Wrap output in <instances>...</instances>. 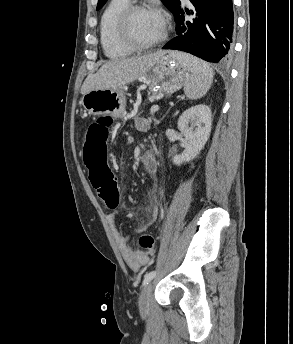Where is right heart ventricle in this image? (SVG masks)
<instances>
[{
    "label": "right heart ventricle",
    "instance_id": "1",
    "mask_svg": "<svg viewBox=\"0 0 293 344\" xmlns=\"http://www.w3.org/2000/svg\"><path fill=\"white\" fill-rule=\"evenodd\" d=\"M129 5V0H110L103 10L99 23V37L106 57L118 60L129 57L134 50L124 45L116 32L120 13Z\"/></svg>",
    "mask_w": 293,
    "mask_h": 344
}]
</instances>
